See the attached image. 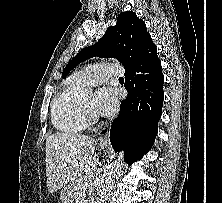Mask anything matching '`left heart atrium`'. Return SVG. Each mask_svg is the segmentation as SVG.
<instances>
[{
  "instance_id": "1",
  "label": "left heart atrium",
  "mask_w": 222,
  "mask_h": 203,
  "mask_svg": "<svg viewBox=\"0 0 222 203\" xmlns=\"http://www.w3.org/2000/svg\"><path fill=\"white\" fill-rule=\"evenodd\" d=\"M118 106L116 93L113 89L103 87L98 90L94 98V111L100 116L112 115Z\"/></svg>"
}]
</instances>
